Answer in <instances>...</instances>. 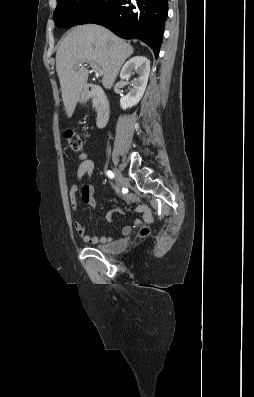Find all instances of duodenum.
<instances>
[{"instance_id": "1", "label": "duodenum", "mask_w": 254, "mask_h": 397, "mask_svg": "<svg viewBox=\"0 0 254 397\" xmlns=\"http://www.w3.org/2000/svg\"><path fill=\"white\" fill-rule=\"evenodd\" d=\"M84 94L87 98H95L97 100L96 125L99 128L104 127L110 115V103L107 95L101 87L94 84H87Z\"/></svg>"}]
</instances>
